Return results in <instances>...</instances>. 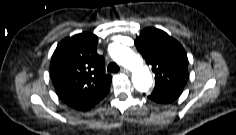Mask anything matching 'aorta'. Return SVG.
<instances>
[{
    "label": "aorta",
    "instance_id": "obj_1",
    "mask_svg": "<svg viewBox=\"0 0 236 135\" xmlns=\"http://www.w3.org/2000/svg\"><path fill=\"white\" fill-rule=\"evenodd\" d=\"M115 62L132 72V82L139 92H147L152 86V75L143 60L129 47L120 45L111 51Z\"/></svg>",
    "mask_w": 236,
    "mask_h": 135
}]
</instances>
